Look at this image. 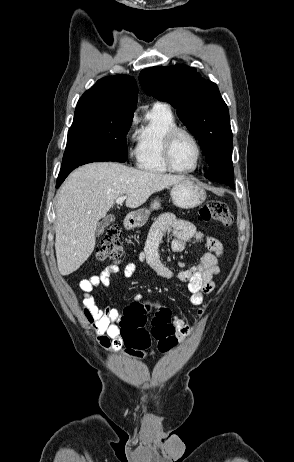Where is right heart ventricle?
<instances>
[{
  "instance_id": "1",
  "label": "right heart ventricle",
  "mask_w": 294,
  "mask_h": 462,
  "mask_svg": "<svg viewBox=\"0 0 294 462\" xmlns=\"http://www.w3.org/2000/svg\"><path fill=\"white\" fill-rule=\"evenodd\" d=\"M178 127L175 116L169 106L155 104L149 109L136 131L135 158L137 167L149 173L169 172L163 156V140L166 133Z\"/></svg>"
}]
</instances>
